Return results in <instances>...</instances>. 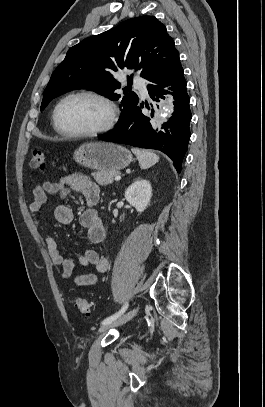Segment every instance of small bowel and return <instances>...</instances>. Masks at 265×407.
<instances>
[{
    "label": "small bowel",
    "mask_w": 265,
    "mask_h": 407,
    "mask_svg": "<svg viewBox=\"0 0 265 407\" xmlns=\"http://www.w3.org/2000/svg\"><path fill=\"white\" fill-rule=\"evenodd\" d=\"M72 191L81 193L88 205L80 216V224L86 229L88 240L92 244L102 243L106 235L105 228L98 212L93 208L95 201L99 199V187L88 176L79 172L70 173L55 182L43 181L34 187V200L29 209L36 229L42 228L43 209L49 201V195L64 198ZM73 216V210L68 205L58 204L55 207L54 217L59 223L69 224L73 221ZM45 241L52 262L62 270V278H73L78 286L93 285L97 278L95 273L73 275L76 263L92 267L97 273H104L108 269L107 258L96 250L86 249L83 253L72 252L63 257L53 237L48 236Z\"/></svg>",
    "instance_id": "small-bowel-1"
}]
</instances>
